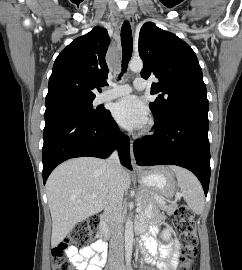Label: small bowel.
<instances>
[{"mask_svg": "<svg viewBox=\"0 0 242 270\" xmlns=\"http://www.w3.org/2000/svg\"><path fill=\"white\" fill-rule=\"evenodd\" d=\"M148 218L154 224L150 227L148 232H146L147 225L145 221H140L138 223V230L143 235L142 239L146 249L154 257L158 252L160 253L161 270H176L178 264V242L174 241L170 246L158 244L154 239L153 234L159 229L163 217L154 209H150L148 212ZM103 247H105L103 242L97 241L90 246L80 249L70 247L67 253L77 270H101L105 262V252L102 250Z\"/></svg>", "mask_w": 242, "mask_h": 270, "instance_id": "obj_1", "label": "small bowel"}]
</instances>
